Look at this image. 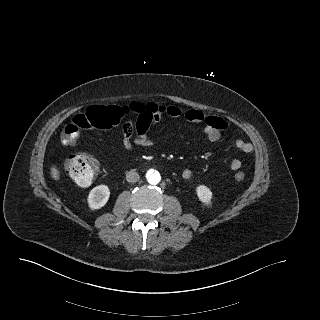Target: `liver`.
<instances>
[{
	"mask_svg": "<svg viewBox=\"0 0 320 320\" xmlns=\"http://www.w3.org/2000/svg\"><path fill=\"white\" fill-rule=\"evenodd\" d=\"M50 173L54 180L58 181L60 179V172L55 165L51 166Z\"/></svg>",
	"mask_w": 320,
	"mask_h": 320,
	"instance_id": "liver-1",
	"label": "liver"
}]
</instances>
